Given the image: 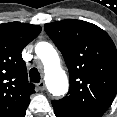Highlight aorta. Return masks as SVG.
<instances>
[{
	"mask_svg": "<svg viewBox=\"0 0 117 117\" xmlns=\"http://www.w3.org/2000/svg\"><path fill=\"white\" fill-rule=\"evenodd\" d=\"M35 51L44 65L45 79L49 91L54 96L65 94L69 84L65 72L61 68L57 51L47 42H40Z\"/></svg>",
	"mask_w": 117,
	"mask_h": 117,
	"instance_id": "aorta-1",
	"label": "aorta"
}]
</instances>
